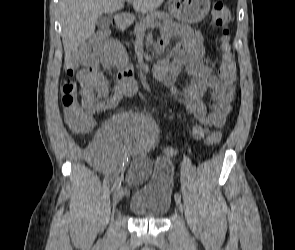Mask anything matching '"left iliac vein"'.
I'll return each instance as SVG.
<instances>
[{
	"instance_id": "left-iliac-vein-1",
	"label": "left iliac vein",
	"mask_w": 295,
	"mask_h": 250,
	"mask_svg": "<svg viewBox=\"0 0 295 250\" xmlns=\"http://www.w3.org/2000/svg\"><path fill=\"white\" fill-rule=\"evenodd\" d=\"M176 204L178 206L179 211L182 212V204H181V201L176 200Z\"/></svg>"
}]
</instances>
